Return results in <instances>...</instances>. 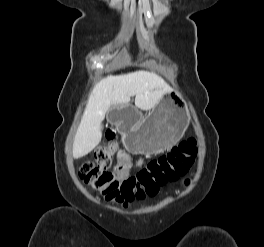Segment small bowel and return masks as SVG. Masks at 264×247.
Returning a JSON list of instances; mask_svg holds the SVG:
<instances>
[{
	"mask_svg": "<svg viewBox=\"0 0 264 247\" xmlns=\"http://www.w3.org/2000/svg\"><path fill=\"white\" fill-rule=\"evenodd\" d=\"M120 153H121V152H120ZM142 162H143V161H142V159L140 158V159L138 160L137 164H138V165H141Z\"/></svg>",
	"mask_w": 264,
	"mask_h": 247,
	"instance_id": "c3829d8e",
	"label": "small bowel"
}]
</instances>
